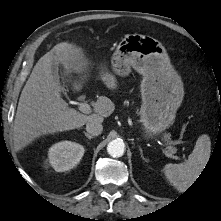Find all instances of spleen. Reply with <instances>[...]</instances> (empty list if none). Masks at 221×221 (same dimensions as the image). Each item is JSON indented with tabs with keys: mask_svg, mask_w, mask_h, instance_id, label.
<instances>
[{
	"mask_svg": "<svg viewBox=\"0 0 221 221\" xmlns=\"http://www.w3.org/2000/svg\"><path fill=\"white\" fill-rule=\"evenodd\" d=\"M210 153V137L207 134H202L196 141L194 150L186 162L165 165L166 178L178 191H184L198 178L210 157Z\"/></svg>",
	"mask_w": 221,
	"mask_h": 221,
	"instance_id": "obj_1",
	"label": "spleen"
}]
</instances>
